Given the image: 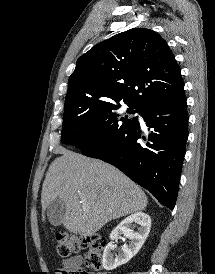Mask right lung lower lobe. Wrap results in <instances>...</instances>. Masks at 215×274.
Returning a JSON list of instances; mask_svg holds the SVG:
<instances>
[{
	"label": "right lung lower lobe",
	"instance_id": "98d812e1",
	"mask_svg": "<svg viewBox=\"0 0 215 274\" xmlns=\"http://www.w3.org/2000/svg\"><path fill=\"white\" fill-rule=\"evenodd\" d=\"M138 112L148 132L136 119L125 131L83 153L114 165L172 210L188 137L186 96L153 101Z\"/></svg>",
	"mask_w": 215,
	"mask_h": 274
}]
</instances>
